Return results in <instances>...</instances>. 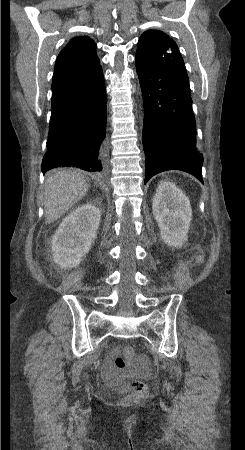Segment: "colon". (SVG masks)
Instances as JSON below:
<instances>
[{"label": "colon", "instance_id": "colon-1", "mask_svg": "<svg viewBox=\"0 0 245 450\" xmlns=\"http://www.w3.org/2000/svg\"><path fill=\"white\" fill-rule=\"evenodd\" d=\"M134 358L133 348L130 346H125L116 355L114 364L118 369H125L128 367L132 359ZM130 396L134 399L145 398L148 395V386L140 381H134L128 386Z\"/></svg>", "mask_w": 245, "mask_h": 450}]
</instances>
